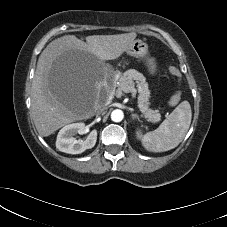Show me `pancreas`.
<instances>
[{
	"instance_id": "cf45deb5",
	"label": "pancreas",
	"mask_w": 227,
	"mask_h": 227,
	"mask_svg": "<svg viewBox=\"0 0 227 227\" xmlns=\"http://www.w3.org/2000/svg\"><path fill=\"white\" fill-rule=\"evenodd\" d=\"M139 84V95H138V108L142 113V116L147 121L152 123H158L161 120V115L157 110L149 108L150 102V90L146 78L135 69H129L119 76L116 80L117 89L114 91V95L120 97L123 95V89L125 87H134L135 82Z\"/></svg>"
}]
</instances>
